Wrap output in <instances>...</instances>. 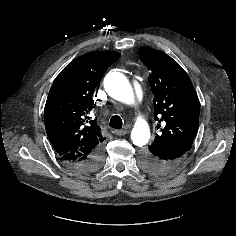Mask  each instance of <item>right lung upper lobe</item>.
Wrapping results in <instances>:
<instances>
[{"mask_svg":"<svg viewBox=\"0 0 236 236\" xmlns=\"http://www.w3.org/2000/svg\"><path fill=\"white\" fill-rule=\"evenodd\" d=\"M120 54L94 51L73 60L54 80L45 105L47 136L63 160H85L105 138L93 116V94Z\"/></svg>","mask_w":236,"mask_h":236,"instance_id":"cb5924a9","label":"right lung upper lobe"}]
</instances>
